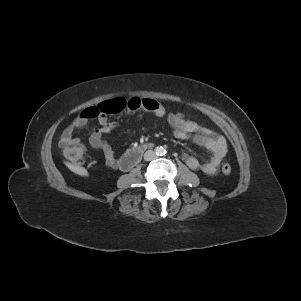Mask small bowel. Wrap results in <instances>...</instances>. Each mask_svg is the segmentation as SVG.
Returning <instances> with one entry per match:
<instances>
[{
  "mask_svg": "<svg viewBox=\"0 0 301 301\" xmlns=\"http://www.w3.org/2000/svg\"><path fill=\"white\" fill-rule=\"evenodd\" d=\"M154 114L158 118L167 120L176 138L191 140L198 146L204 147L212 153L209 160L199 161L190 153L184 152L182 158L191 169L199 170L206 174H215L218 172L220 164L227 153V142L222 135L209 128L203 127L198 123H194L187 119L182 120L180 118L182 113H168L163 106L159 111L154 112ZM88 120L89 118L82 113L76 117L59 135L60 146H66L79 141V138L75 136V132L84 128L87 125ZM96 121L97 127L89 137L90 145L103 153L105 162L108 166L124 170L122 167L123 156H117L111 145L104 138V136L110 133L117 124L115 122H108L104 115L98 116Z\"/></svg>",
  "mask_w": 301,
  "mask_h": 301,
  "instance_id": "small-bowel-1",
  "label": "small bowel"
}]
</instances>
